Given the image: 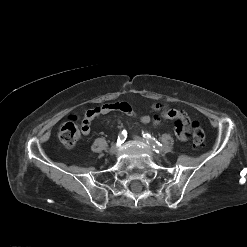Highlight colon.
I'll return each mask as SVG.
<instances>
[{"mask_svg":"<svg viewBox=\"0 0 247 247\" xmlns=\"http://www.w3.org/2000/svg\"><path fill=\"white\" fill-rule=\"evenodd\" d=\"M155 109L162 110L163 106L156 105ZM58 136L59 140L65 147H73L80 138V127L77 117L72 116L69 120L64 122L60 127ZM191 140L193 145L196 147H200L204 143L205 133L198 122H193L191 125Z\"/></svg>","mask_w":247,"mask_h":247,"instance_id":"5ec220e1","label":"colon"}]
</instances>
